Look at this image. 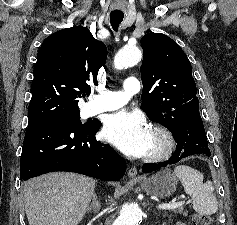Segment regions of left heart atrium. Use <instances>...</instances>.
<instances>
[{
  "instance_id": "1",
  "label": "left heart atrium",
  "mask_w": 237,
  "mask_h": 225,
  "mask_svg": "<svg viewBox=\"0 0 237 225\" xmlns=\"http://www.w3.org/2000/svg\"><path fill=\"white\" fill-rule=\"evenodd\" d=\"M150 131L138 113L119 111L110 115L103 128L104 138L129 156L147 153Z\"/></svg>"
}]
</instances>
